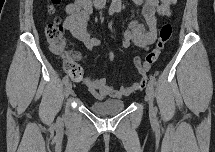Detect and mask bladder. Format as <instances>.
Wrapping results in <instances>:
<instances>
[{
    "mask_svg": "<svg viewBox=\"0 0 215 152\" xmlns=\"http://www.w3.org/2000/svg\"><path fill=\"white\" fill-rule=\"evenodd\" d=\"M126 106L125 101L105 99L102 101H95L91 104V110L101 116H108L120 113Z\"/></svg>",
    "mask_w": 215,
    "mask_h": 152,
    "instance_id": "bladder-1",
    "label": "bladder"
}]
</instances>
